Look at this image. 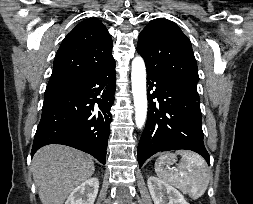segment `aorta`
I'll use <instances>...</instances> for the list:
<instances>
[{"label": "aorta", "mask_w": 253, "mask_h": 204, "mask_svg": "<svg viewBox=\"0 0 253 204\" xmlns=\"http://www.w3.org/2000/svg\"><path fill=\"white\" fill-rule=\"evenodd\" d=\"M132 93L135 106V121L139 129L145 123L147 116L146 68L142 57L137 56L132 61L131 71Z\"/></svg>", "instance_id": "aorta-1"}]
</instances>
